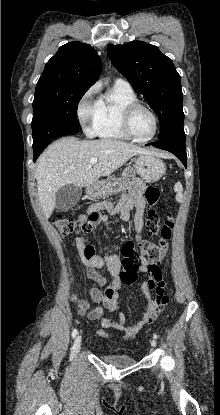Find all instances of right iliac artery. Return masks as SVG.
<instances>
[{
    "label": "right iliac artery",
    "instance_id": "82829eb1",
    "mask_svg": "<svg viewBox=\"0 0 220 415\" xmlns=\"http://www.w3.org/2000/svg\"><path fill=\"white\" fill-rule=\"evenodd\" d=\"M77 333H78L77 329H74V330L72 331V337L74 338V337L77 335Z\"/></svg>",
    "mask_w": 220,
    "mask_h": 415
}]
</instances>
